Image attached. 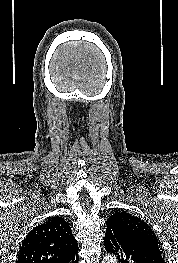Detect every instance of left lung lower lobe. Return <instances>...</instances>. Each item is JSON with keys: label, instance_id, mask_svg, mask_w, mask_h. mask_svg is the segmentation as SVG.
<instances>
[{"label": "left lung lower lobe", "instance_id": "0a47b994", "mask_svg": "<svg viewBox=\"0 0 178 263\" xmlns=\"http://www.w3.org/2000/svg\"><path fill=\"white\" fill-rule=\"evenodd\" d=\"M105 249L117 255L120 263H165L158 241L107 220Z\"/></svg>", "mask_w": 178, "mask_h": 263}]
</instances>
